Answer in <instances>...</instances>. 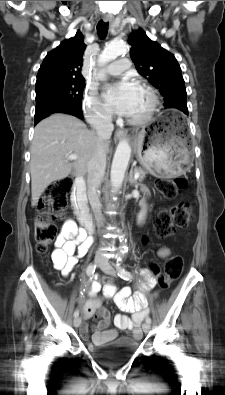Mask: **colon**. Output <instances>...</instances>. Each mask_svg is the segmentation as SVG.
<instances>
[{
    "instance_id": "5ec220e1",
    "label": "colon",
    "mask_w": 225,
    "mask_h": 395,
    "mask_svg": "<svg viewBox=\"0 0 225 395\" xmlns=\"http://www.w3.org/2000/svg\"><path fill=\"white\" fill-rule=\"evenodd\" d=\"M72 186V178L65 177L50 184L42 195L38 205L41 215L36 218L34 223L36 249L40 253H45L57 237L58 229L52 219L66 209L68 194ZM185 186L186 180L182 177L159 179L156 182L158 191L169 199L178 196ZM192 219L191 205L188 202H179L157 214L154 221V232L158 237H168L176 230L186 228ZM142 270L150 272L151 275H158L159 286L161 289H165L180 277L183 270V260L179 256H173L165 262L164 270L158 268L153 262L143 265ZM112 283V278L101 279L102 285Z\"/></svg>"
}]
</instances>
